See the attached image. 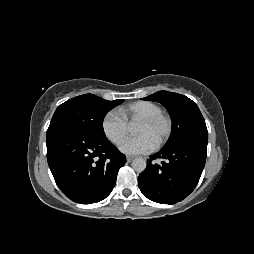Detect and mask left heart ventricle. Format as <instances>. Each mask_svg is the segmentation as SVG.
I'll use <instances>...</instances> for the list:
<instances>
[{
    "mask_svg": "<svg viewBox=\"0 0 254 254\" xmlns=\"http://www.w3.org/2000/svg\"><path fill=\"white\" fill-rule=\"evenodd\" d=\"M166 124L163 121H159L152 125H145L143 123H138L136 128L137 135L148 136L154 144H156L165 134Z\"/></svg>",
    "mask_w": 254,
    "mask_h": 254,
    "instance_id": "left-heart-ventricle-1",
    "label": "left heart ventricle"
}]
</instances>
